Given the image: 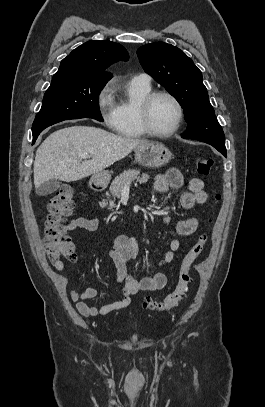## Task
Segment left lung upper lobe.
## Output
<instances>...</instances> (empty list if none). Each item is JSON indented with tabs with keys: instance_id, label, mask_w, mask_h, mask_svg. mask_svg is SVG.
I'll return each instance as SVG.
<instances>
[{
	"instance_id": "left-lung-upper-lobe-1",
	"label": "left lung upper lobe",
	"mask_w": 265,
	"mask_h": 407,
	"mask_svg": "<svg viewBox=\"0 0 265 407\" xmlns=\"http://www.w3.org/2000/svg\"><path fill=\"white\" fill-rule=\"evenodd\" d=\"M146 73L176 98L188 123L182 138L202 141L226 152L225 138L202 81V73L179 48L164 42L137 50Z\"/></svg>"
}]
</instances>
